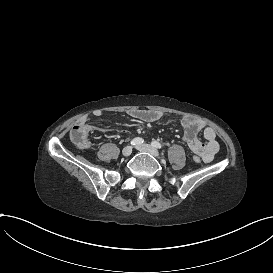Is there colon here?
Returning a JSON list of instances; mask_svg holds the SVG:
<instances>
[{"label":"colon","mask_w":273,"mask_h":273,"mask_svg":"<svg viewBox=\"0 0 273 273\" xmlns=\"http://www.w3.org/2000/svg\"><path fill=\"white\" fill-rule=\"evenodd\" d=\"M90 126V121L87 119H83L73 128L70 137L74 141V145L77 149H88L93 146V139L87 137V133L90 131ZM188 146L192 150H196L199 152H204L206 150V145L202 142H197L195 139H190L188 141Z\"/></svg>","instance_id":"1"}]
</instances>
